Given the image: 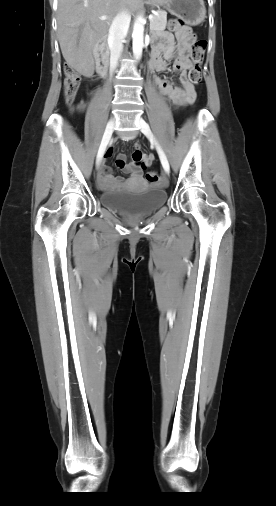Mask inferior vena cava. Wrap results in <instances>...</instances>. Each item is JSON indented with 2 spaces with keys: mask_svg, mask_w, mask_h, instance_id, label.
<instances>
[{
  "mask_svg": "<svg viewBox=\"0 0 276 506\" xmlns=\"http://www.w3.org/2000/svg\"><path fill=\"white\" fill-rule=\"evenodd\" d=\"M131 16L129 12L122 10L113 19L108 34V44L110 48V72L113 73L118 66L123 50V41L129 29Z\"/></svg>",
  "mask_w": 276,
  "mask_h": 506,
  "instance_id": "inferior-vena-cava-1",
  "label": "inferior vena cava"
}]
</instances>
